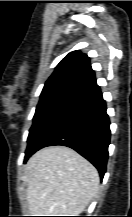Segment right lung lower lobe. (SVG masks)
I'll list each match as a JSON object with an SVG mask.
<instances>
[{
  "instance_id": "right-lung-lower-lobe-1",
  "label": "right lung lower lobe",
  "mask_w": 132,
  "mask_h": 217,
  "mask_svg": "<svg viewBox=\"0 0 132 217\" xmlns=\"http://www.w3.org/2000/svg\"><path fill=\"white\" fill-rule=\"evenodd\" d=\"M109 125L106 103L99 88L64 107L26 150L24 161L43 147L67 146L89 160L102 179L108 159Z\"/></svg>"
}]
</instances>
